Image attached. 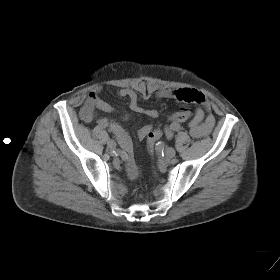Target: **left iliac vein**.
<instances>
[{"label": "left iliac vein", "instance_id": "left-iliac-vein-1", "mask_svg": "<svg viewBox=\"0 0 280 280\" xmlns=\"http://www.w3.org/2000/svg\"><path fill=\"white\" fill-rule=\"evenodd\" d=\"M164 153H165V156L169 159L173 158L176 154L174 148H172V147L166 148Z\"/></svg>", "mask_w": 280, "mask_h": 280}]
</instances>
